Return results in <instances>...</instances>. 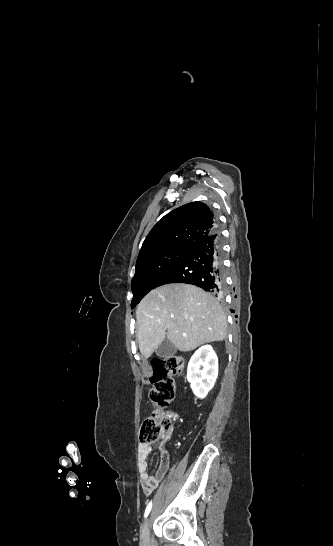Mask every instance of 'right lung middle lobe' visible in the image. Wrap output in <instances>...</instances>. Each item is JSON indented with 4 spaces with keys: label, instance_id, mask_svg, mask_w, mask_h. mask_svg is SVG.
Listing matches in <instances>:
<instances>
[{
    "label": "right lung middle lobe",
    "instance_id": "1",
    "mask_svg": "<svg viewBox=\"0 0 333 546\" xmlns=\"http://www.w3.org/2000/svg\"><path fill=\"white\" fill-rule=\"evenodd\" d=\"M191 249L192 247L168 248L136 263V272L131 282L134 295L131 308H134L151 289H154L160 279L177 265Z\"/></svg>",
    "mask_w": 333,
    "mask_h": 546
}]
</instances>
